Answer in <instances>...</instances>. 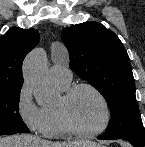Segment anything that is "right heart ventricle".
Wrapping results in <instances>:
<instances>
[{
  "label": "right heart ventricle",
  "instance_id": "obj_1",
  "mask_svg": "<svg viewBox=\"0 0 145 147\" xmlns=\"http://www.w3.org/2000/svg\"><path fill=\"white\" fill-rule=\"evenodd\" d=\"M56 86L61 92L66 91L71 86V81L60 82L54 81ZM45 118H46V128L44 134L48 137H61L68 134V131L61 122L57 104L47 105L42 107Z\"/></svg>",
  "mask_w": 145,
  "mask_h": 147
}]
</instances>
